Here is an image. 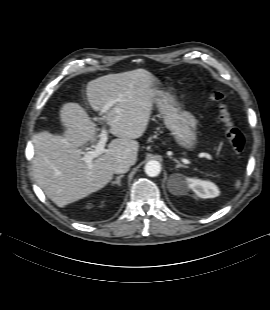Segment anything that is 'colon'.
I'll use <instances>...</instances> for the list:
<instances>
[{
	"mask_svg": "<svg viewBox=\"0 0 270 310\" xmlns=\"http://www.w3.org/2000/svg\"><path fill=\"white\" fill-rule=\"evenodd\" d=\"M211 99L218 105L219 119L224 126L225 135L230 145L235 153L238 155L243 154L247 143L246 136L236 126L232 118L227 105V93L222 90L214 91L211 94Z\"/></svg>",
	"mask_w": 270,
	"mask_h": 310,
	"instance_id": "1",
	"label": "colon"
}]
</instances>
